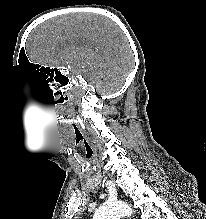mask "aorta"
<instances>
[{"label":"aorta","mask_w":206,"mask_h":219,"mask_svg":"<svg viewBox=\"0 0 206 219\" xmlns=\"http://www.w3.org/2000/svg\"><path fill=\"white\" fill-rule=\"evenodd\" d=\"M132 210L130 206L124 202L106 203L99 207L93 219H120L124 215H131Z\"/></svg>","instance_id":"aorta-1"}]
</instances>
